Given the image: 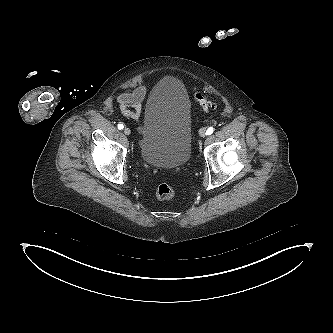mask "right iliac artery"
<instances>
[{"label":"right iliac artery","instance_id":"82829eb1","mask_svg":"<svg viewBox=\"0 0 333 333\" xmlns=\"http://www.w3.org/2000/svg\"><path fill=\"white\" fill-rule=\"evenodd\" d=\"M118 129H119V130L124 129V125H123L122 123L118 124Z\"/></svg>","mask_w":333,"mask_h":333}]
</instances>
